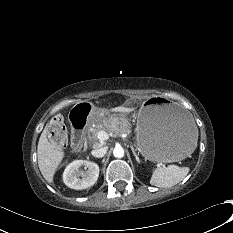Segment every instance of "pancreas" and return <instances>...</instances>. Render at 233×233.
<instances>
[{"mask_svg":"<svg viewBox=\"0 0 233 233\" xmlns=\"http://www.w3.org/2000/svg\"><path fill=\"white\" fill-rule=\"evenodd\" d=\"M101 130H106L112 133L114 136H118L120 134L128 133L130 131V128L126 123L117 125L111 121H106L96 125L95 127L91 128L89 133V139L95 146L98 145L97 134Z\"/></svg>","mask_w":233,"mask_h":233,"instance_id":"obj_1","label":"pancreas"}]
</instances>
